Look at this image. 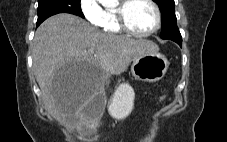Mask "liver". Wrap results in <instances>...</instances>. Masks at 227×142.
I'll list each match as a JSON object with an SVG mask.
<instances>
[{"instance_id":"liver-1","label":"liver","mask_w":227,"mask_h":142,"mask_svg":"<svg viewBox=\"0 0 227 142\" xmlns=\"http://www.w3.org/2000/svg\"><path fill=\"white\" fill-rule=\"evenodd\" d=\"M158 50L150 40L103 33L78 16L62 13L48 18L36 30L33 70L46 109L67 126L91 133L94 127L79 114L94 94L102 91L95 68L102 71V78L118 75L134 58ZM63 61H88L82 68L94 73V78L82 81L81 88H58L59 81H53V76Z\"/></svg>"}]
</instances>
